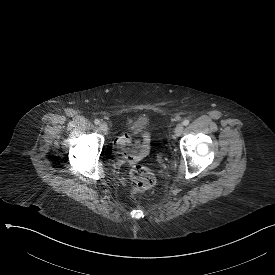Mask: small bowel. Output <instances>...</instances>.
Wrapping results in <instances>:
<instances>
[{
	"mask_svg": "<svg viewBox=\"0 0 275 275\" xmlns=\"http://www.w3.org/2000/svg\"><path fill=\"white\" fill-rule=\"evenodd\" d=\"M142 138L140 144L131 141L127 136H120L115 140L114 148L116 152L122 155V159L119 161L120 164L136 163L148 154L153 135L151 132L146 131L143 133ZM143 150L146 151L143 152Z\"/></svg>",
	"mask_w": 275,
	"mask_h": 275,
	"instance_id": "obj_1",
	"label": "small bowel"
}]
</instances>
